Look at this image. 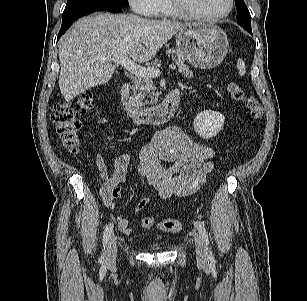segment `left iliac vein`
<instances>
[{
  "instance_id": "1",
  "label": "left iliac vein",
  "mask_w": 307,
  "mask_h": 301,
  "mask_svg": "<svg viewBox=\"0 0 307 301\" xmlns=\"http://www.w3.org/2000/svg\"><path fill=\"white\" fill-rule=\"evenodd\" d=\"M193 238L195 242L197 260L201 264H206L208 260V255H207V251H206V247H205L203 238L197 232L193 233Z\"/></svg>"
}]
</instances>
